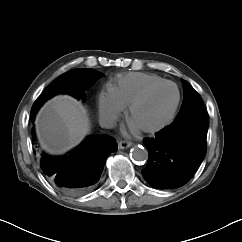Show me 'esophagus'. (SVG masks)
<instances>
[{"label": "esophagus", "instance_id": "1", "mask_svg": "<svg viewBox=\"0 0 242 242\" xmlns=\"http://www.w3.org/2000/svg\"><path fill=\"white\" fill-rule=\"evenodd\" d=\"M130 146H132V143L129 141L121 140L118 143L119 149H126V148H129Z\"/></svg>", "mask_w": 242, "mask_h": 242}]
</instances>
